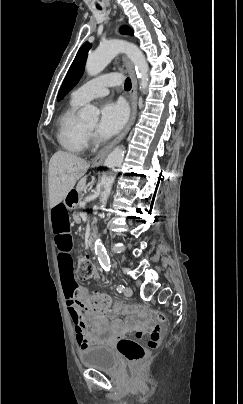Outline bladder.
Wrapping results in <instances>:
<instances>
[{
	"label": "bladder",
	"mask_w": 243,
	"mask_h": 404,
	"mask_svg": "<svg viewBox=\"0 0 243 404\" xmlns=\"http://www.w3.org/2000/svg\"><path fill=\"white\" fill-rule=\"evenodd\" d=\"M79 359L83 367L106 373H116L120 363L116 353L106 346L92 345L79 350Z\"/></svg>",
	"instance_id": "obj_1"
}]
</instances>
